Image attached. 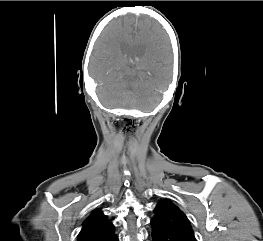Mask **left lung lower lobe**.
Returning a JSON list of instances; mask_svg holds the SVG:
<instances>
[{
    "instance_id": "left-lung-lower-lobe-1",
    "label": "left lung lower lobe",
    "mask_w": 263,
    "mask_h": 241,
    "mask_svg": "<svg viewBox=\"0 0 263 241\" xmlns=\"http://www.w3.org/2000/svg\"><path fill=\"white\" fill-rule=\"evenodd\" d=\"M151 225L153 241H191L155 220L151 221Z\"/></svg>"
}]
</instances>
